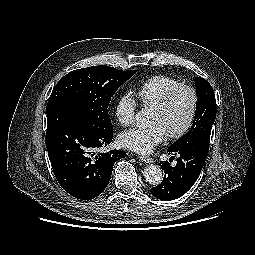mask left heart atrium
I'll list each match as a JSON object with an SVG mask.
<instances>
[{"instance_id":"39dd6f15","label":"left heart atrium","mask_w":255,"mask_h":255,"mask_svg":"<svg viewBox=\"0 0 255 255\" xmlns=\"http://www.w3.org/2000/svg\"><path fill=\"white\" fill-rule=\"evenodd\" d=\"M165 137L163 128L154 124L149 128H132L122 132L118 141L119 144L128 150L139 154H147L154 150Z\"/></svg>"}]
</instances>
